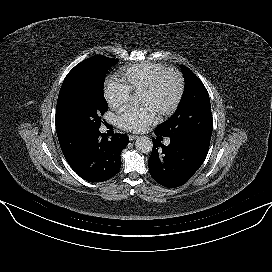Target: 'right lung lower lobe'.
I'll return each instance as SVG.
<instances>
[{
    "label": "right lung lower lobe",
    "mask_w": 272,
    "mask_h": 272,
    "mask_svg": "<svg viewBox=\"0 0 272 272\" xmlns=\"http://www.w3.org/2000/svg\"><path fill=\"white\" fill-rule=\"evenodd\" d=\"M128 141L126 134L116 133L111 140H108L97 131L67 161L71 168L86 181H106L120 170V153L127 146Z\"/></svg>",
    "instance_id": "1"
}]
</instances>
